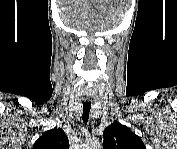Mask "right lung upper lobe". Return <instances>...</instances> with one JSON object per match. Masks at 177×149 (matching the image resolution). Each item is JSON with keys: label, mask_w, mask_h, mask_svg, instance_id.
<instances>
[{"label": "right lung upper lobe", "mask_w": 177, "mask_h": 149, "mask_svg": "<svg viewBox=\"0 0 177 149\" xmlns=\"http://www.w3.org/2000/svg\"><path fill=\"white\" fill-rule=\"evenodd\" d=\"M33 149H69V140L64 131L56 127L39 137Z\"/></svg>", "instance_id": "obj_1"}]
</instances>
